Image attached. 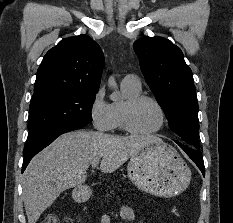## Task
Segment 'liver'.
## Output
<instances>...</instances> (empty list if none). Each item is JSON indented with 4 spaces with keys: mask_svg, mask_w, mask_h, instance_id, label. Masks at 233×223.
Here are the masks:
<instances>
[{
    "mask_svg": "<svg viewBox=\"0 0 233 223\" xmlns=\"http://www.w3.org/2000/svg\"><path fill=\"white\" fill-rule=\"evenodd\" d=\"M156 135H110L100 131H70L32 157L22 175V195L28 223H36L62 191L80 187L92 161L102 173H112Z\"/></svg>",
    "mask_w": 233,
    "mask_h": 223,
    "instance_id": "1",
    "label": "liver"
}]
</instances>
